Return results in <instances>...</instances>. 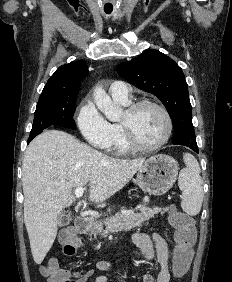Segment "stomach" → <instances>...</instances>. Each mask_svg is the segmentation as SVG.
Returning <instances> with one entry per match:
<instances>
[{
	"instance_id": "stomach-1",
	"label": "stomach",
	"mask_w": 232,
	"mask_h": 282,
	"mask_svg": "<svg viewBox=\"0 0 232 282\" xmlns=\"http://www.w3.org/2000/svg\"><path fill=\"white\" fill-rule=\"evenodd\" d=\"M178 170L179 165L174 158L163 154L154 155L148 158L138 170L136 181L144 192L161 196L174 185ZM88 227L94 234L102 229L97 222L90 223Z\"/></svg>"
}]
</instances>
